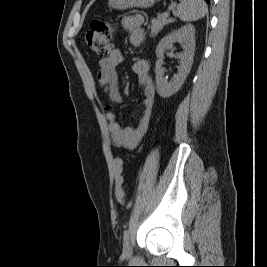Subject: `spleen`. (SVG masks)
<instances>
[{
	"label": "spleen",
	"mask_w": 267,
	"mask_h": 267,
	"mask_svg": "<svg viewBox=\"0 0 267 267\" xmlns=\"http://www.w3.org/2000/svg\"><path fill=\"white\" fill-rule=\"evenodd\" d=\"M176 12L180 20L192 22L204 17L208 9L204 0H180Z\"/></svg>",
	"instance_id": "spleen-1"
}]
</instances>
